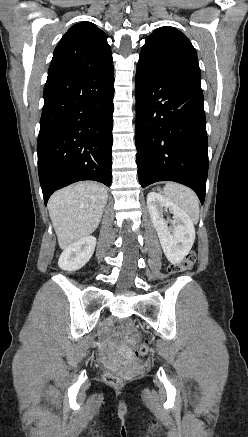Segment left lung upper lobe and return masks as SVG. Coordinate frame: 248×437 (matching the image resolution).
I'll return each instance as SVG.
<instances>
[{"label":"left lung upper lobe","instance_id":"5c2ea615","mask_svg":"<svg viewBox=\"0 0 248 437\" xmlns=\"http://www.w3.org/2000/svg\"><path fill=\"white\" fill-rule=\"evenodd\" d=\"M137 69L201 88L196 50L182 32L170 26L158 28L146 39Z\"/></svg>","mask_w":248,"mask_h":437}]
</instances>
